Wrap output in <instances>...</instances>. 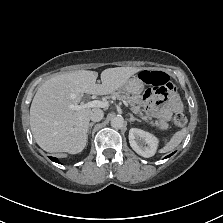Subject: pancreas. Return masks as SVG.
<instances>
[{"label":"pancreas","mask_w":223,"mask_h":223,"mask_svg":"<svg viewBox=\"0 0 223 223\" xmlns=\"http://www.w3.org/2000/svg\"><path fill=\"white\" fill-rule=\"evenodd\" d=\"M112 97H115L117 100H122L125 99L130 106L132 107V110L135 113H139L140 112V106L138 105L140 103V97H134L131 95H127L126 92L120 93L119 91H116L114 93H112ZM153 125H157V123H153L151 122Z\"/></svg>","instance_id":"cf45deb5"}]
</instances>
